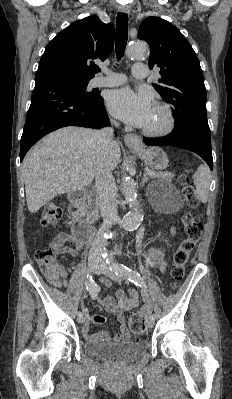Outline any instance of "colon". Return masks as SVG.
<instances>
[{
    "instance_id": "1",
    "label": "colon",
    "mask_w": 232,
    "mask_h": 399,
    "mask_svg": "<svg viewBox=\"0 0 232 399\" xmlns=\"http://www.w3.org/2000/svg\"><path fill=\"white\" fill-rule=\"evenodd\" d=\"M177 182H190V177H177ZM183 195L189 203L188 213L184 214L181 219L178 230L185 236L183 244L178 251H173L172 263L174 269H170V274L166 276L165 283L169 287H179L183 283V278L186 275L184 268L186 262H193V257H190L195 250L197 240L200 237L201 221H197V214L202 209V200L199 193L192 186H187L183 190ZM55 203H46L38 216V221L42 225L51 223L53 218L60 216V211L55 209ZM54 257V252H48L45 249H40L36 252V258L39 263V268L48 273L47 283H54V290H63L64 283L67 281V275L54 264L50 258ZM131 330L133 335H148V328H144L143 324H147L146 313H131Z\"/></svg>"
}]
</instances>
